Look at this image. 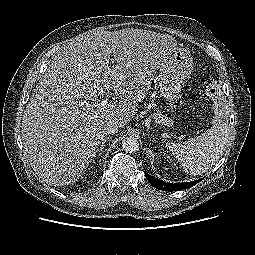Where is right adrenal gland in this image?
Returning a JSON list of instances; mask_svg holds the SVG:
<instances>
[{
	"instance_id": "1",
	"label": "right adrenal gland",
	"mask_w": 255,
	"mask_h": 255,
	"mask_svg": "<svg viewBox=\"0 0 255 255\" xmlns=\"http://www.w3.org/2000/svg\"><path fill=\"white\" fill-rule=\"evenodd\" d=\"M111 138V136L105 137L101 143V145L99 146V149H97L96 153L98 154V156H100L103 152V149L105 147V143ZM95 153L94 157L97 156Z\"/></svg>"
}]
</instances>
